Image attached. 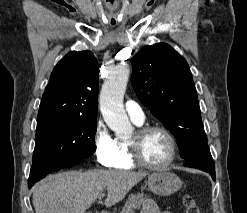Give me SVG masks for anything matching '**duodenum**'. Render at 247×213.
Masks as SVG:
<instances>
[{"mask_svg": "<svg viewBox=\"0 0 247 213\" xmlns=\"http://www.w3.org/2000/svg\"><path fill=\"white\" fill-rule=\"evenodd\" d=\"M99 213H110V212H108V211H102V212H99Z\"/></svg>", "mask_w": 247, "mask_h": 213, "instance_id": "obj_1", "label": "duodenum"}]
</instances>
